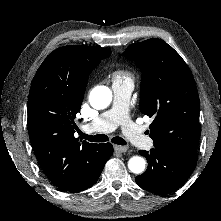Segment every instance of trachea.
Returning a JSON list of instances; mask_svg holds the SVG:
<instances>
[{
	"label": "trachea",
	"instance_id": "1",
	"mask_svg": "<svg viewBox=\"0 0 221 221\" xmlns=\"http://www.w3.org/2000/svg\"><path fill=\"white\" fill-rule=\"evenodd\" d=\"M80 137L82 139H86V140L93 141V142H106L109 140L108 136L104 135V134L90 136V135H87L83 132H80ZM111 141L115 144H118V145H126V141L121 137H113L111 139Z\"/></svg>",
	"mask_w": 221,
	"mask_h": 221
}]
</instances>
